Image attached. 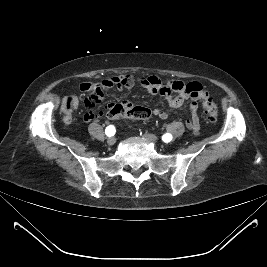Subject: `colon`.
Listing matches in <instances>:
<instances>
[{
  "label": "colon",
  "instance_id": "colon-1",
  "mask_svg": "<svg viewBox=\"0 0 267 267\" xmlns=\"http://www.w3.org/2000/svg\"><path fill=\"white\" fill-rule=\"evenodd\" d=\"M203 111L210 122H216L218 117V108L216 103L211 99L203 101ZM151 116V111L142 106H131L128 108L115 107L108 111V117L112 120H117L123 117L135 119H148Z\"/></svg>",
  "mask_w": 267,
  "mask_h": 267
}]
</instances>
